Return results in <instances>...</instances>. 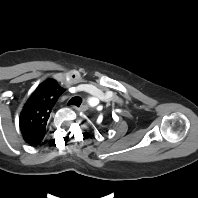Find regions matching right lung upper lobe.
Wrapping results in <instances>:
<instances>
[{
    "label": "right lung upper lobe",
    "mask_w": 198,
    "mask_h": 198,
    "mask_svg": "<svg viewBox=\"0 0 198 198\" xmlns=\"http://www.w3.org/2000/svg\"><path fill=\"white\" fill-rule=\"evenodd\" d=\"M64 91L55 80L48 79L29 97L19 118L20 129L27 143L35 145L42 141L50 113Z\"/></svg>",
    "instance_id": "1"
}]
</instances>
